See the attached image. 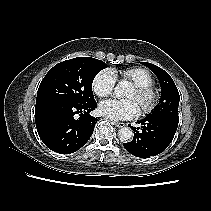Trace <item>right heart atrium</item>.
I'll return each instance as SVG.
<instances>
[{
	"label": "right heart atrium",
	"instance_id": "1",
	"mask_svg": "<svg viewBox=\"0 0 211 211\" xmlns=\"http://www.w3.org/2000/svg\"><path fill=\"white\" fill-rule=\"evenodd\" d=\"M116 78L111 70L98 72L92 80V90L99 98L109 97L114 90Z\"/></svg>",
	"mask_w": 211,
	"mask_h": 211
}]
</instances>
